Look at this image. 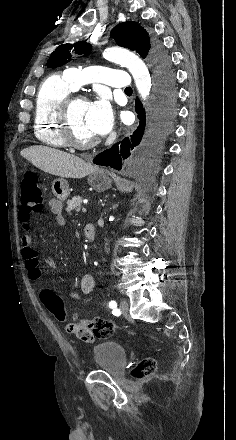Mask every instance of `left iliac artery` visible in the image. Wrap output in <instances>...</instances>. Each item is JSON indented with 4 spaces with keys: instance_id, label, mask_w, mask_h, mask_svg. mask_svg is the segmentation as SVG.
Listing matches in <instances>:
<instances>
[{
    "instance_id": "44dca946",
    "label": "left iliac artery",
    "mask_w": 236,
    "mask_h": 440,
    "mask_svg": "<svg viewBox=\"0 0 236 440\" xmlns=\"http://www.w3.org/2000/svg\"><path fill=\"white\" fill-rule=\"evenodd\" d=\"M109 307L113 309V314H114V315H117V314L119 313V310L116 309V308H117V303H116V301L111 300V301L109 302Z\"/></svg>"
}]
</instances>
